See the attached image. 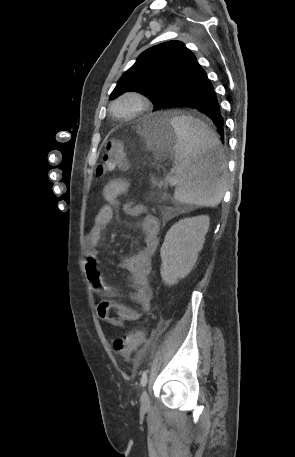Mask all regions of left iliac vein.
<instances>
[{
  "label": "left iliac vein",
  "mask_w": 295,
  "mask_h": 457,
  "mask_svg": "<svg viewBox=\"0 0 295 457\" xmlns=\"http://www.w3.org/2000/svg\"><path fill=\"white\" fill-rule=\"evenodd\" d=\"M140 402H141V407L142 408H146V407L149 406L150 399H149V396H148V393H147L146 390L142 391V394H141V397H140Z\"/></svg>",
  "instance_id": "1"
}]
</instances>
